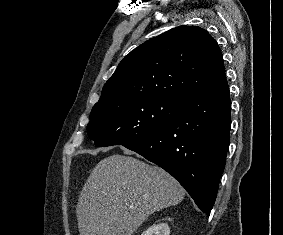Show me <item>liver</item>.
Here are the masks:
<instances>
[{
	"label": "liver",
	"instance_id": "6515ba94",
	"mask_svg": "<svg viewBox=\"0 0 283 235\" xmlns=\"http://www.w3.org/2000/svg\"><path fill=\"white\" fill-rule=\"evenodd\" d=\"M125 155L102 159L80 193V235H132L155 211L179 204L184 189L165 170Z\"/></svg>",
	"mask_w": 283,
	"mask_h": 235
}]
</instances>
